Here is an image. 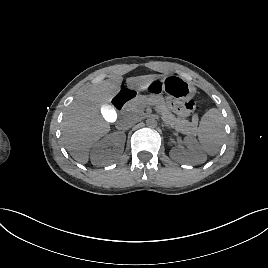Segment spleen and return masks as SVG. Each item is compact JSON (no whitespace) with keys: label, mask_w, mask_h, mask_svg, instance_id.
Returning a JSON list of instances; mask_svg holds the SVG:
<instances>
[{"label":"spleen","mask_w":268,"mask_h":268,"mask_svg":"<svg viewBox=\"0 0 268 268\" xmlns=\"http://www.w3.org/2000/svg\"><path fill=\"white\" fill-rule=\"evenodd\" d=\"M225 136L224 118L217 108H211L201 118L198 139L201 148L208 155H216Z\"/></svg>","instance_id":"spleen-1"}]
</instances>
